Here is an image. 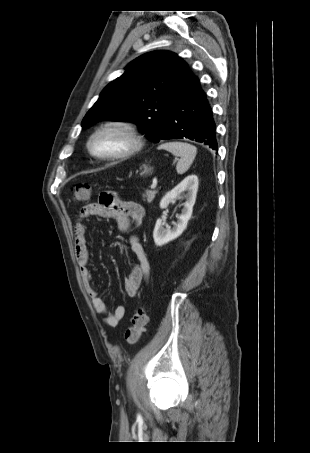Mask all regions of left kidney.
<instances>
[{"instance_id": "obj_1", "label": "left kidney", "mask_w": 310, "mask_h": 453, "mask_svg": "<svg viewBox=\"0 0 310 453\" xmlns=\"http://www.w3.org/2000/svg\"><path fill=\"white\" fill-rule=\"evenodd\" d=\"M197 191L198 177L196 175H189L162 198L160 208L165 209L170 203L174 202L180 194L186 192L184 195L186 201L184 203L182 213L178 217V220L172 229L169 226L165 227V223L161 219L156 221L153 231V238L156 246H163L176 239L184 232L188 221L192 216Z\"/></svg>"}]
</instances>
